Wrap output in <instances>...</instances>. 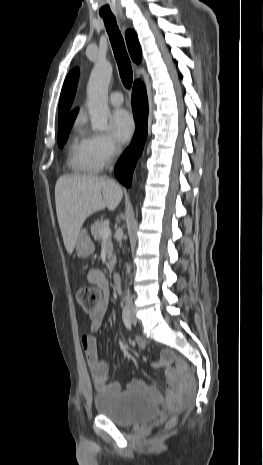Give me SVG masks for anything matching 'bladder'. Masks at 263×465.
I'll use <instances>...</instances> for the list:
<instances>
[{"instance_id":"obj_1","label":"bladder","mask_w":263,"mask_h":465,"mask_svg":"<svg viewBox=\"0 0 263 465\" xmlns=\"http://www.w3.org/2000/svg\"><path fill=\"white\" fill-rule=\"evenodd\" d=\"M98 414L118 426H133L152 420L158 414L154 402L137 392L106 389L94 397Z\"/></svg>"}]
</instances>
